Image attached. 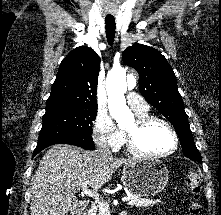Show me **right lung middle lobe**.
<instances>
[{
  "label": "right lung middle lobe",
  "mask_w": 221,
  "mask_h": 215,
  "mask_svg": "<svg viewBox=\"0 0 221 215\" xmlns=\"http://www.w3.org/2000/svg\"><path fill=\"white\" fill-rule=\"evenodd\" d=\"M97 109H66L43 115L39 141L92 133Z\"/></svg>",
  "instance_id": "dd1d6c3e"
}]
</instances>
